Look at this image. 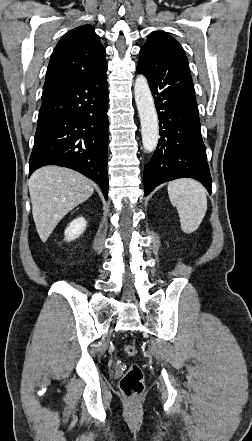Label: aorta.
Masks as SVG:
<instances>
[{
	"label": "aorta",
	"mask_w": 252,
	"mask_h": 441,
	"mask_svg": "<svg viewBox=\"0 0 252 441\" xmlns=\"http://www.w3.org/2000/svg\"><path fill=\"white\" fill-rule=\"evenodd\" d=\"M134 93L141 122L143 147L146 152H152L156 149L159 139L158 116L147 79L143 75L136 78Z\"/></svg>",
	"instance_id": "aorta-1"
}]
</instances>
